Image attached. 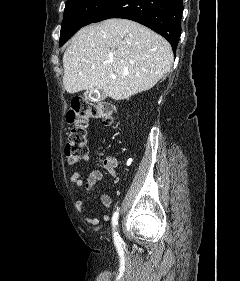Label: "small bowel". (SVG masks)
I'll list each match as a JSON object with an SVG mask.
<instances>
[{
  "instance_id": "obj_1",
  "label": "small bowel",
  "mask_w": 240,
  "mask_h": 281,
  "mask_svg": "<svg viewBox=\"0 0 240 281\" xmlns=\"http://www.w3.org/2000/svg\"><path fill=\"white\" fill-rule=\"evenodd\" d=\"M92 160L91 155H87L84 158L85 162H89ZM117 162L115 158L109 156L106 159L103 160L102 162V167L103 169L108 172L115 181L118 179V173L116 170ZM103 179V174L101 170L99 169H94L91 170L87 176V178L84 180L82 178V175L80 172H74L72 173L70 177V181L76 185L77 187H84L86 190L90 191L94 188V186L101 182ZM101 202L106 208H111L113 203L111 196L108 193H104L101 195ZM76 210L80 213L84 211L85 208V203L82 200H79L75 203ZM85 221L91 225H97L99 223V219L97 217H92V216H85L84 217ZM103 220L108 221L109 216L104 214L103 215Z\"/></svg>"
}]
</instances>
